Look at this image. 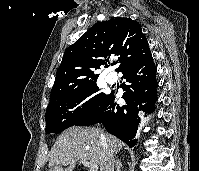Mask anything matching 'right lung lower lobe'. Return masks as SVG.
<instances>
[{"label":"right lung lower lobe","mask_w":199,"mask_h":171,"mask_svg":"<svg viewBox=\"0 0 199 171\" xmlns=\"http://www.w3.org/2000/svg\"><path fill=\"white\" fill-rule=\"evenodd\" d=\"M156 67L152 56L126 67L122 70L123 78L128 84H123L122 98L126 105L115 103L113 94H109L103 102L88 115L75 123V126H89L103 123L106 130L132 147L136 144L137 126L140 123L138 112L143 110L151 113L157 101Z\"/></svg>","instance_id":"1"}]
</instances>
